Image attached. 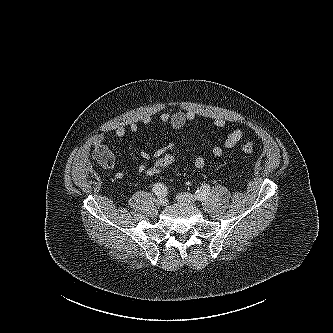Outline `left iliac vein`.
<instances>
[{"label":"left iliac vein","instance_id":"4c4485c4","mask_svg":"<svg viewBox=\"0 0 333 333\" xmlns=\"http://www.w3.org/2000/svg\"><path fill=\"white\" fill-rule=\"evenodd\" d=\"M176 198L179 202L190 205L197 201L196 196L189 193H179Z\"/></svg>","mask_w":333,"mask_h":333}]
</instances>
